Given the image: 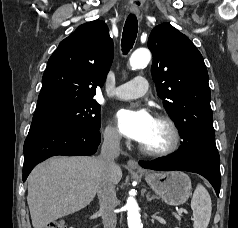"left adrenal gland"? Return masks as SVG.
<instances>
[{"label":"left adrenal gland","mask_w":238,"mask_h":228,"mask_svg":"<svg viewBox=\"0 0 238 228\" xmlns=\"http://www.w3.org/2000/svg\"><path fill=\"white\" fill-rule=\"evenodd\" d=\"M157 198L156 196H150V192L147 193V200L151 201L153 199Z\"/></svg>","instance_id":"obj_1"}]
</instances>
